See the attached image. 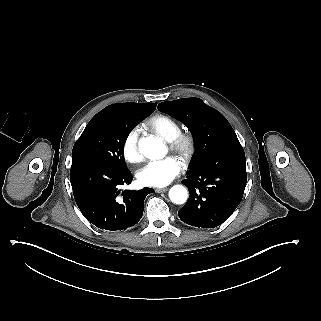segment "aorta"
I'll list each match as a JSON object with an SVG mask.
<instances>
[{"mask_svg":"<svg viewBox=\"0 0 321 321\" xmlns=\"http://www.w3.org/2000/svg\"><path fill=\"white\" fill-rule=\"evenodd\" d=\"M139 149L147 158H160L166 154V148L163 142L157 138L146 137L139 141ZM188 192L182 185H175L169 191V198L175 204L186 202Z\"/></svg>","mask_w":321,"mask_h":321,"instance_id":"762f6f07","label":"aorta"}]
</instances>
